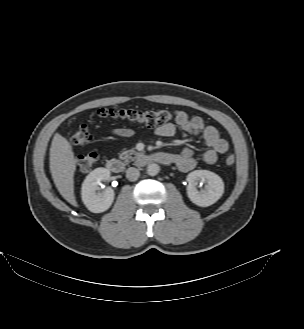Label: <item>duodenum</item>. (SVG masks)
Segmentation results:
<instances>
[{
  "instance_id": "obj_1",
  "label": "duodenum",
  "mask_w": 304,
  "mask_h": 329,
  "mask_svg": "<svg viewBox=\"0 0 304 329\" xmlns=\"http://www.w3.org/2000/svg\"><path fill=\"white\" fill-rule=\"evenodd\" d=\"M134 160L139 166L149 163H160L165 165H170L173 163L172 155L164 152L136 155L134 156ZM106 167L112 173L118 174L124 170V163L119 159H109L106 162Z\"/></svg>"
}]
</instances>
